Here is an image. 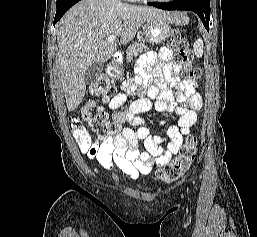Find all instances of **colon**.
<instances>
[{"mask_svg":"<svg viewBox=\"0 0 257 237\" xmlns=\"http://www.w3.org/2000/svg\"><path fill=\"white\" fill-rule=\"evenodd\" d=\"M169 45L176 53V61L184 66L183 75L191 80L198 79L201 76V70L192 66L194 55L189 47L187 38L180 32H174L170 38ZM114 93L113 82L105 75L99 76L90 90L92 99L86 107L89 110L87 120L101 140L113 139L118 132V126L109 120L107 112L97 106L98 101L109 99ZM69 124L78 144L88 147L91 143V138L83 127L81 120L78 117H70ZM197 145V137L189 135L180 154L156 172V179L165 183L177 180L193 162Z\"/></svg>","mask_w":257,"mask_h":237,"instance_id":"obj_1","label":"colon"}]
</instances>
